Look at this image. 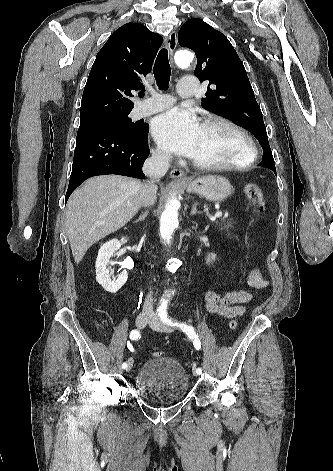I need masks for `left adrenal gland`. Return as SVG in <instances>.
Instances as JSON below:
<instances>
[{
	"instance_id": "obj_1",
	"label": "left adrenal gland",
	"mask_w": 333,
	"mask_h": 471,
	"mask_svg": "<svg viewBox=\"0 0 333 471\" xmlns=\"http://www.w3.org/2000/svg\"><path fill=\"white\" fill-rule=\"evenodd\" d=\"M197 205H198V202H194V204L192 205V210H191V215H196V214H200L201 212L197 210Z\"/></svg>"
}]
</instances>
